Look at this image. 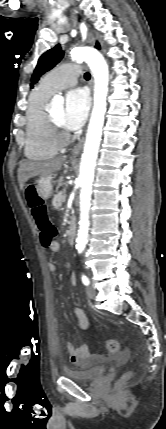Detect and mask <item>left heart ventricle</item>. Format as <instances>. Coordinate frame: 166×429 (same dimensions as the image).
Instances as JSON below:
<instances>
[{"label": "left heart ventricle", "mask_w": 166, "mask_h": 429, "mask_svg": "<svg viewBox=\"0 0 166 429\" xmlns=\"http://www.w3.org/2000/svg\"><path fill=\"white\" fill-rule=\"evenodd\" d=\"M50 113H51L53 119L55 120V122L62 129H64L63 124H62V119H63V114H64V107H63V105H58V106L52 108L51 111H50Z\"/></svg>", "instance_id": "left-heart-ventricle-1"}]
</instances>
